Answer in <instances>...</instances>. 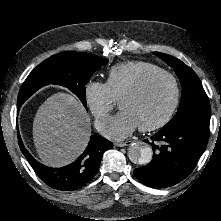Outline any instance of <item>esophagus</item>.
<instances>
[{
  "label": "esophagus",
  "instance_id": "1",
  "mask_svg": "<svg viewBox=\"0 0 221 221\" xmlns=\"http://www.w3.org/2000/svg\"><path fill=\"white\" fill-rule=\"evenodd\" d=\"M132 143H133L132 140H127L125 142H117V143H115V146H117V147L130 146Z\"/></svg>",
  "mask_w": 221,
  "mask_h": 221
}]
</instances>
